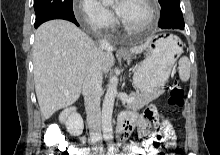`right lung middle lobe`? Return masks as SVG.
<instances>
[{"instance_id": "right-lung-middle-lobe-1", "label": "right lung middle lobe", "mask_w": 220, "mask_h": 155, "mask_svg": "<svg viewBox=\"0 0 220 155\" xmlns=\"http://www.w3.org/2000/svg\"><path fill=\"white\" fill-rule=\"evenodd\" d=\"M36 20L53 13H66L74 15L72 0H34Z\"/></svg>"}]
</instances>
